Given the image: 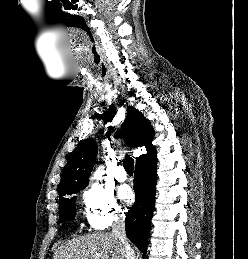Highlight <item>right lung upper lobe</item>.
Segmentation results:
<instances>
[{
	"mask_svg": "<svg viewBox=\"0 0 248 259\" xmlns=\"http://www.w3.org/2000/svg\"><path fill=\"white\" fill-rule=\"evenodd\" d=\"M128 115L122 125V133L125 135L130 147L145 146L148 153L136 158L155 154V148L152 145L154 129L136 108L129 106ZM121 132H117L115 137H119ZM97 155L96 142L93 139L82 141L71 154L64 169L60 186L59 195L64 196L67 192L85 188L88 184V178L94 166Z\"/></svg>",
	"mask_w": 248,
	"mask_h": 259,
	"instance_id": "right-lung-upper-lobe-1",
	"label": "right lung upper lobe"
}]
</instances>
